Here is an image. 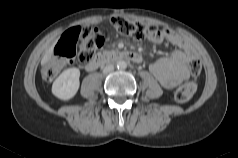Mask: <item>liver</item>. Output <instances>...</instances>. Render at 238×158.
Instances as JSON below:
<instances>
[{
    "label": "liver",
    "mask_w": 238,
    "mask_h": 158,
    "mask_svg": "<svg viewBox=\"0 0 238 158\" xmlns=\"http://www.w3.org/2000/svg\"><path fill=\"white\" fill-rule=\"evenodd\" d=\"M53 47H54V45H52V46L45 52V54H44V56H43V58H42V61H41V64H42V65H45V64H47V63L50 61V59H51V57H52V55H53Z\"/></svg>",
    "instance_id": "1"
}]
</instances>
